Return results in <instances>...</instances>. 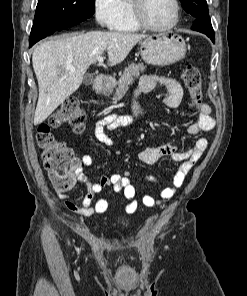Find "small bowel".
I'll return each instance as SVG.
<instances>
[{
  "label": "small bowel",
  "mask_w": 247,
  "mask_h": 296,
  "mask_svg": "<svg viewBox=\"0 0 247 296\" xmlns=\"http://www.w3.org/2000/svg\"><path fill=\"white\" fill-rule=\"evenodd\" d=\"M156 87H161L165 90L163 103L167 107L177 108L183 103V90L176 80L156 75H145L141 78L134 94L133 110L136 115H142L143 113L137 101V97L142 93L151 92ZM198 110L197 119L187 127V131L191 135H198L201 132L210 131L214 127V119L211 116L210 106L202 103L199 105ZM134 123L135 119L132 116L109 114L97 122L95 136L102 144L112 146L113 141L107 134V131H112L121 127H129ZM207 147V139L201 137L196 140L193 148L186 152H177V148L173 144L148 147L139 151L137 157L139 161L146 165L155 164L162 156H171L173 160L181 163L173 176L172 187L164 188L159 197L143 195L141 197L142 204L146 207H155L171 199L176 189L182 186L186 175L201 158ZM93 162V157L88 154L83 155L80 159V165L77 170V180L87 187V193L81 206L70 201L65 192L58 193V197L63 201L65 207L72 213L83 217H90L95 214L103 215L108 210V202L103 198H99L94 202V199L106 186H112L116 193H120L124 196L126 200L125 212L127 214L135 213L138 208V201L135 186L130 178V173L126 171L110 176H102L98 180H93L84 170V167L91 166ZM141 179L150 183H160L159 179L151 175L143 176Z\"/></svg>",
  "instance_id": "c3829d8e"
}]
</instances>
